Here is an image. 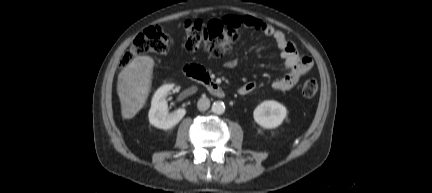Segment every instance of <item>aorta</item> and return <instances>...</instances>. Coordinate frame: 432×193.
Segmentation results:
<instances>
[{
    "label": "aorta",
    "instance_id": "762f6f07",
    "mask_svg": "<svg viewBox=\"0 0 432 193\" xmlns=\"http://www.w3.org/2000/svg\"><path fill=\"white\" fill-rule=\"evenodd\" d=\"M212 112L215 114H223L225 112V104L221 101H216L212 104Z\"/></svg>",
    "mask_w": 432,
    "mask_h": 193
}]
</instances>
